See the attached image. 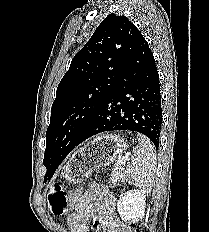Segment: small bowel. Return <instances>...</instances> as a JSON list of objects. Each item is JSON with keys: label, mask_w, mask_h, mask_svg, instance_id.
Wrapping results in <instances>:
<instances>
[{"label": "small bowel", "mask_w": 209, "mask_h": 232, "mask_svg": "<svg viewBox=\"0 0 209 232\" xmlns=\"http://www.w3.org/2000/svg\"><path fill=\"white\" fill-rule=\"evenodd\" d=\"M115 196L106 186L93 182L79 198L67 217L72 232H98L99 225L109 232H130L123 223L113 217ZM93 220L94 225H89Z\"/></svg>", "instance_id": "obj_1"}]
</instances>
